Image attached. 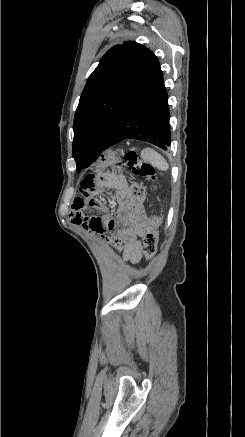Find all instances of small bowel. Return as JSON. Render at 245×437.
Masks as SVG:
<instances>
[{
  "label": "small bowel",
  "instance_id": "obj_1",
  "mask_svg": "<svg viewBox=\"0 0 245 437\" xmlns=\"http://www.w3.org/2000/svg\"><path fill=\"white\" fill-rule=\"evenodd\" d=\"M100 155L96 166H91L90 171H86L81 181V196L73 200L71 219L73 223L90 233L101 234L104 228L115 230L106 241L114 246L126 261L136 264L141 258L140 238L146 230V216L141 206L131 207L129 205L130 188L124 180L121 178L113 181L105 180L107 185L112 186L118 192L116 218L91 216L87 212L86 198H89V206L92 209L102 207V198L92 195L96 190L95 181L99 180L100 175H105V172L110 170L116 154L114 150H102Z\"/></svg>",
  "mask_w": 245,
  "mask_h": 437
}]
</instances>
